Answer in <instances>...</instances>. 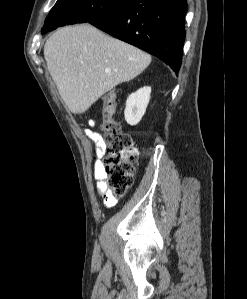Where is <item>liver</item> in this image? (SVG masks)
<instances>
[{"label":"liver","instance_id":"obj_1","mask_svg":"<svg viewBox=\"0 0 247 299\" xmlns=\"http://www.w3.org/2000/svg\"><path fill=\"white\" fill-rule=\"evenodd\" d=\"M44 57L61 98L75 114L137 77L151 62L149 54L88 23L56 30L44 45Z\"/></svg>","mask_w":247,"mask_h":299}]
</instances>
